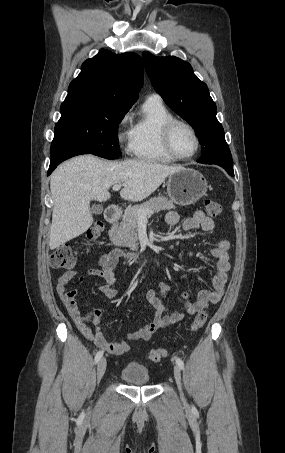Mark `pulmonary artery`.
<instances>
[{
  "mask_svg": "<svg viewBox=\"0 0 285 453\" xmlns=\"http://www.w3.org/2000/svg\"><path fill=\"white\" fill-rule=\"evenodd\" d=\"M148 99L161 100V98L158 94H152L149 96Z\"/></svg>",
  "mask_w": 285,
  "mask_h": 453,
  "instance_id": "obj_1",
  "label": "pulmonary artery"
}]
</instances>
